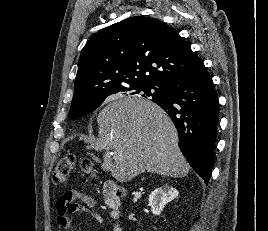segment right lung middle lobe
<instances>
[{
	"label": "right lung middle lobe",
	"instance_id": "obj_1",
	"mask_svg": "<svg viewBox=\"0 0 268 231\" xmlns=\"http://www.w3.org/2000/svg\"><path fill=\"white\" fill-rule=\"evenodd\" d=\"M150 90L152 91V93L150 92ZM141 91L144 92V94L142 96L152 97V99H156L158 97H161L163 94L161 86L152 85V84H144V85H139V86L126 87V88L119 90L118 92H121L124 94H139ZM106 98L100 99V100H98L92 104H88V105H82V104H78V103L73 102L71 105L68 117L70 119H75L77 117L84 116V115L94 111L95 109H97Z\"/></svg>",
	"mask_w": 268,
	"mask_h": 231
}]
</instances>
